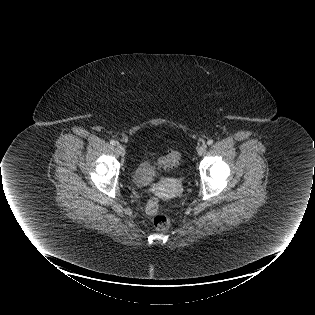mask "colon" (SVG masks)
Returning <instances> with one entry per match:
<instances>
[{
    "label": "colon",
    "instance_id": "1",
    "mask_svg": "<svg viewBox=\"0 0 315 315\" xmlns=\"http://www.w3.org/2000/svg\"><path fill=\"white\" fill-rule=\"evenodd\" d=\"M180 153L172 150L169 154L160 160V166L163 168H174L180 161ZM147 212L153 217V225L158 231H166L170 228L171 222L168 215L158 209L156 199H150L147 203Z\"/></svg>",
    "mask_w": 315,
    "mask_h": 315
}]
</instances>
